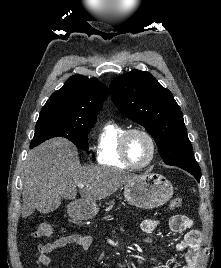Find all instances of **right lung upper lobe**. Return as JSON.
<instances>
[{
  "label": "right lung upper lobe",
  "mask_w": 221,
  "mask_h": 268,
  "mask_svg": "<svg viewBox=\"0 0 221 268\" xmlns=\"http://www.w3.org/2000/svg\"><path fill=\"white\" fill-rule=\"evenodd\" d=\"M109 96V89L94 78L71 76L54 92L41 112H63L85 119H96Z\"/></svg>",
  "instance_id": "obj_1"
}]
</instances>
